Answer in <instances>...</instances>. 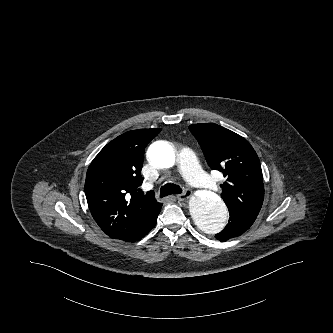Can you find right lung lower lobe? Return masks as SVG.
Segmentation results:
<instances>
[{"label":"right lung lower lobe","instance_id":"right-lung-lower-lobe-1","mask_svg":"<svg viewBox=\"0 0 333 333\" xmlns=\"http://www.w3.org/2000/svg\"><path fill=\"white\" fill-rule=\"evenodd\" d=\"M162 204L154 208L149 215L139 223L134 233L124 239L127 242H135L145 236L157 223V217L161 211Z\"/></svg>","mask_w":333,"mask_h":333}]
</instances>
